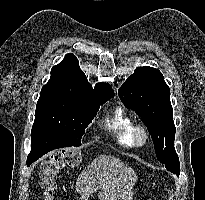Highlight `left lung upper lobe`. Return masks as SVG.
Wrapping results in <instances>:
<instances>
[{"label": "left lung upper lobe", "mask_w": 205, "mask_h": 200, "mask_svg": "<svg viewBox=\"0 0 205 200\" xmlns=\"http://www.w3.org/2000/svg\"><path fill=\"white\" fill-rule=\"evenodd\" d=\"M118 92L125 106L133 109L147 126L157 159L162 164L176 162L170 88L162 73L152 67H138Z\"/></svg>", "instance_id": "5c2ea615"}]
</instances>
